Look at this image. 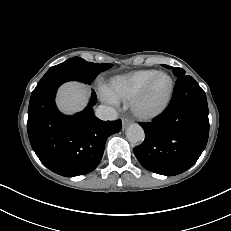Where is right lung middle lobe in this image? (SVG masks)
I'll use <instances>...</instances> for the list:
<instances>
[{"label": "right lung middle lobe", "mask_w": 231, "mask_h": 231, "mask_svg": "<svg viewBox=\"0 0 231 231\" xmlns=\"http://www.w3.org/2000/svg\"><path fill=\"white\" fill-rule=\"evenodd\" d=\"M110 67H112V64H96L87 62L79 57H74L51 67L39 81L35 89L42 88L53 81L63 78L91 83L100 72Z\"/></svg>", "instance_id": "right-lung-middle-lobe-1"}]
</instances>
